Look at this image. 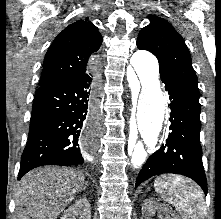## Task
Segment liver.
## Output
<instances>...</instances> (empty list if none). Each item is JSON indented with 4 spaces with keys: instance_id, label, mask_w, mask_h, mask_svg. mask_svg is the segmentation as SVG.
<instances>
[{
    "instance_id": "6515ba94",
    "label": "liver",
    "mask_w": 221,
    "mask_h": 219,
    "mask_svg": "<svg viewBox=\"0 0 221 219\" xmlns=\"http://www.w3.org/2000/svg\"><path fill=\"white\" fill-rule=\"evenodd\" d=\"M85 185L83 173L74 169H35L17 186L16 219H57Z\"/></svg>"
}]
</instances>
